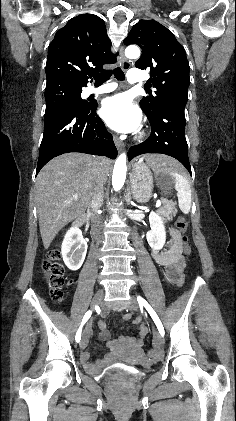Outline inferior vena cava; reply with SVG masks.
<instances>
[{"mask_svg": "<svg viewBox=\"0 0 236 421\" xmlns=\"http://www.w3.org/2000/svg\"><path fill=\"white\" fill-rule=\"evenodd\" d=\"M93 174L96 178L95 186L93 188L91 200H90V211L92 213L91 215V223L93 229L97 231L99 229L100 225V215H98L97 211H100V208L103 204L104 196V188L103 184L105 182L104 176H102V172H100V168H94ZM98 237V235H97Z\"/></svg>", "mask_w": 236, "mask_h": 421, "instance_id": "obj_1", "label": "inferior vena cava"}]
</instances>
